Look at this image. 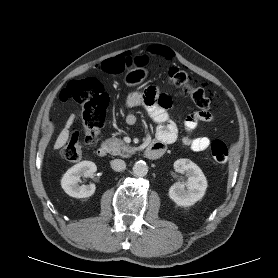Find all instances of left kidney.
<instances>
[{
    "label": "left kidney",
    "instance_id": "5707ae66",
    "mask_svg": "<svg viewBox=\"0 0 278 278\" xmlns=\"http://www.w3.org/2000/svg\"><path fill=\"white\" fill-rule=\"evenodd\" d=\"M174 169L176 172L186 173L188 179L185 184L175 183L172 185L169 189V197L178 206L190 207L203 198L208 186L206 177L202 170L188 159L176 160Z\"/></svg>",
    "mask_w": 278,
    "mask_h": 278
}]
</instances>
